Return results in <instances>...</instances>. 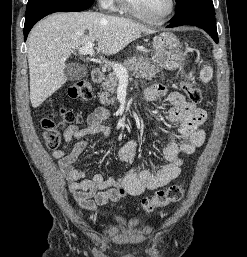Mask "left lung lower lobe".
<instances>
[{
    "instance_id": "0a47b994",
    "label": "left lung lower lobe",
    "mask_w": 247,
    "mask_h": 257,
    "mask_svg": "<svg viewBox=\"0 0 247 257\" xmlns=\"http://www.w3.org/2000/svg\"><path fill=\"white\" fill-rule=\"evenodd\" d=\"M192 25L205 30L218 43L215 10L213 3H194L176 11L167 28Z\"/></svg>"
}]
</instances>
